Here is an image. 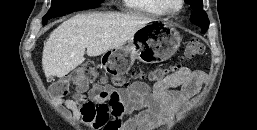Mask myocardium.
<instances>
[{
  "label": "myocardium",
  "instance_id": "myocardium-1",
  "mask_svg": "<svg viewBox=\"0 0 257 130\" xmlns=\"http://www.w3.org/2000/svg\"><path fill=\"white\" fill-rule=\"evenodd\" d=\"M179 5L177 7H172L169 3V0H159L160 5L163 7V9L170 14H176L179 13L184 5L185 1L184 0H178Z\"/></svg>",
  "mask_w": 257,
  "mask_h": 130
}]
</instances>
